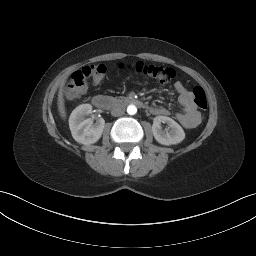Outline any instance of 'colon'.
Masks as SVG:
<instances>
[{"label":"colon","instance_id":"1","mask_svg":"<svg viewBox=\"0 0 256 256\" xmlns=\"http://www.w3.org/2000/svg\"><path fill=\"white\" fill-rule=\"evenodd\" d=\"M137 74L147 76L161 83H169L175 77V71L170 67L137 62L131 66ZM106 73V67L103 64L85 66L75 71L67 84L65 96L69 100L80 98L87 90L88 84L100 82ZM194 103L200 110H206L208 101L204 89L196 86L193 89Z\"/></svg>","mask_w":256,"mask_h":256}]
</instances>
